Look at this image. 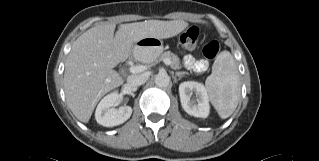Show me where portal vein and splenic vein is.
I'll return each instance as SVG.
<instances>
[{"mask_svg":"<svg viewBox=\"0 0 319 161\" xmlns=\"http://www.w3.org/2000/svg\"><path fill=\"white\" fill-rule=\"evenodd\" d=\"M164 63L166 64V65H170V60H168V59H165L164 60ZM146 70V66H143V65H136V66H132L131 68H130V72L131 73H139V72H142V71H145Z\"/></svg>","mask_w":319,"mask_h":161,"instance_id":"18ae733b","label":"portal vein and splenic vein"}]
</instances>
